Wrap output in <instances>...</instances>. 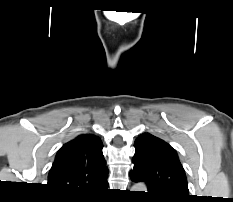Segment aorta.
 I'll return each mask as SVG.
<instances>
[{
    "instance_id": "762f6f07",
    "label": "aorta",
    "mask_w": 233,
    "mask_h": 202,
    "mask_svg": "<svg viewBox=\"0 0 233 202\" xmlns=\"http://www.w3.org/2000/svg\"><path fill=\"white\" fill-rule=\"evenodd\" d=\"M145 190H146V187L142 183L135 184L132 187V191H145Z\"/></svg>"
}]
</instances>
